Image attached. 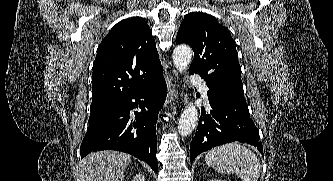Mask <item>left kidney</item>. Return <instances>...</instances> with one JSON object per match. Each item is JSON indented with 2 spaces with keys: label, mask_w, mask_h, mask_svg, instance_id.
Segmentation results:
<instances>
[{
  "label": "left kidney",
  "mask_w": 333,
  "mask_h": 181,
  "mask_svg": "<svg viewBox=\"0 0 333 181\" xmlns=\"http://www.w3.org/2000/svg\"><path fill=\"white\" fill-rule=\"evenodd\" d=\"M210 181H225V180H222V179H212V180H210Z\"/></svg>",
  "instance_id": "obj_1"
}]
</instances>
